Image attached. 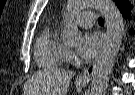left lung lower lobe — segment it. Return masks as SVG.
I'll return each mask as SVG.
<instances>
[{
  "label": "left lung lower lobe",
  "mask_w": 135,
  "mask_h": 95,
  "mask_svg": "<svg viewBox=\"0 0 135 95\" xmlns=\"http://www.w3.org/2000/svg\"><path fill=\"white\" fill-rule=\"evenodd\" d=\"M131 8V6L129 5V6H127V7H124V8H121L120 9V11H121V13L123 14V16L125 17V18H129L130 17V14H129V9ZM132 34L134 33V31L133 30H131L130 31Z\"/></svg>",
  "instance_id": "1"
}]
</instances>
